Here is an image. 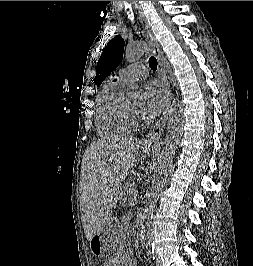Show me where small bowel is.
<instances>
[{"instance_id":"small-bowel-1","label":"small bowel","mask_w":253,"mask_h":266,"mask_svg":"<svg viewBox=\"0 0 253 266\" xmlns=\"http://www.w3.org/2000/svg\"><path fill=\"white\" fill-rule=\"evenodd\" d=\"M104 266H137V262L133 255L118 251Z\"/></svg>"}]
</instances>
